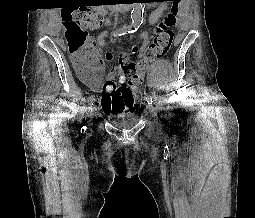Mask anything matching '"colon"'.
I'll list each match as a JSON object with an SVG mask.
<instances>
[{"instance_id":"colon-1","label":"colon","mask_w":255,"mask_h":218,"mask_svg":"<svg viewBox=\"0 0 255 218\" xmlns=\"http://www.w3.org/2000/svg\"><path fill=\"white\" fill-rule=\"evenodd\" d=\"M171 1L172 11L159 23L151 36H144L143 51L134 45L132 51L139 53V59L131 60L126 67L124 76L107 79L103 70V57L95 47V41L89 31L96 30L106 22L105 18L85 7L65 9L62 20L68 51L71 55L74 71L79 80L93 90H102V107L107 113L134 111L135 100L133 90L142 86L145 70L150 62L163 57L171 47L178 0ZM146 42V43H145ZM111 53L106 57L110 58ZM93 60V64L89 60Z\"/></svg>"}]
</instances>
